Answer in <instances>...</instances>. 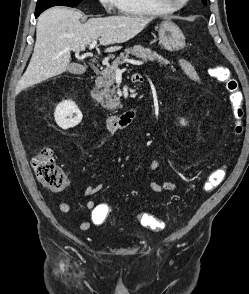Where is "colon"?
I'll return each mask as SVG.
<instances>
[{"mask_svg":"<svg viewBox=\"0 0 249 294\" xmlns=\"http://www.w3.org/2000/svg\"><path fill=\"white\" fill-rule=\"evenodd\" d=\"M210 75L225 85L228 92V101L234 118V133L242 132L243 120V96L238 84L231 77L227 76L219 66H213L209 70ZM32 168L36 179L46 189L60 191L67 187L69 181L64 171L55 163L53 152L50 148L40 149L32 159ZM226 175L224 167L214 170L204 183V191L210 192L218 187ZM106 213L109 214V206H106ZM140 224L151 230H161L163 223L154 216L143 213L139 216Z\"/></svg>","mask_w":249,"mask_h":294,"instance_id":"1","label":"colon"}]
</instances>
